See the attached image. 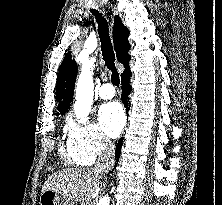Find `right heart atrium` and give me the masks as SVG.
<instances>
[{"label":"right heart atrium","instance_id":"obj_1","mask_svg":"<svg viewBox=\"0 0 222 205\" xmlns=\"http://www.w3.org/2000/svg\"><path fill=\"white\" fill-rule=\"evenodd\" d=\"M67 144L82 165H91L112 150L111 141L91 121H72L67 128Z\"/></svg>","mask_w":222,"mask_h":205}]
</instances>
